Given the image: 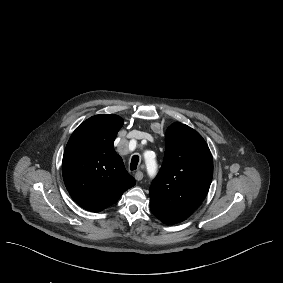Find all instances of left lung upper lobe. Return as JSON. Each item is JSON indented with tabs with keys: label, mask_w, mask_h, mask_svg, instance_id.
Instances as JSON below:
<instances>
[{
	"label": "left lung upper lobe",
	"mask_w": 283,
	"mask_h": 283,
	"mask_svg": "<svg viewBox=\"0 0 283 283\" xmlns=\"http://www.w3.org/2000/svg\"><path fill=\"white\" fill-rule=\"evenodd\" d=\"M213 177V159L202 136L182 123L166 131L162 167L151 184L150 201L194 211L205 199Z\"/></svg>",
	"instance_id": "1"
}]
</instances>
